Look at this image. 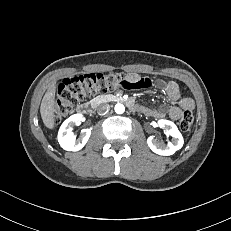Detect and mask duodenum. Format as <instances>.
<instances>
[{
  "instance_id": "obj_1",
  "label": "duodenum",
  "mask_w": 231,
  "mask_h": 231,
  "mask_svg": "<svg viewBox=\"0 0 231 231\" xmlns=\"http://www.w3.org/2000/svg\"><path fill=\"white\" fill-rule=\"evenodd\" d=\"M112 100L118 101V102H123L127 106H129L132 110H138L139 106L130 98H125L123 96L117 95L111 97ZM94 110V104H83L78 107V113L80 114H89L92 113Z\"/></svg>"
}]
</instances>
